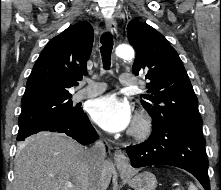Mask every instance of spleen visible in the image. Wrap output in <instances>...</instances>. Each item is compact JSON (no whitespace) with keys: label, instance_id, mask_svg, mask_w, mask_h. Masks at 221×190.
Instances as JSON below:
<instances>
[{"label":"spleen","instance_id":"1","mask_svg":"<svg viewBox=\"0 0 221 190\" xmlns=\"http://www.w3.org/2000/svg\"><path fill=\"white\" fill-rule=\"evenodd\" d=\"M188 190H198V189L193 183H189Z\"/></svg>","mask_w":221,"mask_h":190}]
</instances>
